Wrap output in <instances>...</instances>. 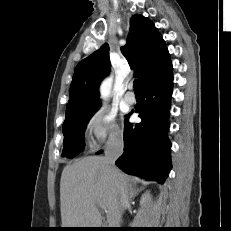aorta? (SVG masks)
<instances>
[{
  "label": "aorta",
  "mask_w": 231,
  "mask_h": 231,
  "mask_svg": "<svg viewBox=\"0 0 231 231\" xmlns=\"http://www.w3.org/2000/svg\"><path fill=\"white\" fill-rule=\"evenodd\" d=\"M112 87V78L105 79L100 86V94L103 100H107L110 96Z\"/></svg>",
  "instance_id": "762f6f07"
}]
</instances>
